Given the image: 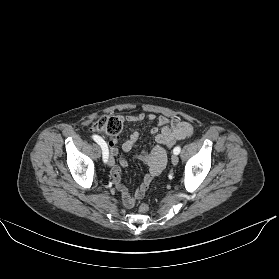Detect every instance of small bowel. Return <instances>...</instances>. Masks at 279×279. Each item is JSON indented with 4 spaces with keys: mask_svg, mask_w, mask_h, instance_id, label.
<instances>
[{
    "mask_svg": "<svg viewBox=\"0 0 279 279\" xmlns=\"http://www.w3.org/2000/svg\"><path fill=\"white\" fill-rule=\"evenodd\" d=\"M121 122H138L148 119L149 121H157V125L151 129V133L155 135V146L150 152H143L139 159L146 163L149 167V173L145 175L143 182L135 189L131 195L122 182V167L127 165V158L124 154L119 155L118 165H113L111 169V178L116 188L122 193V201L125 207L130 208L134 205L136 199H140L145 191L149 188L152 180L157 177L167 162V153L164 148L170 138L178 140L189 137L193 134V127L186 121L173 118L169 119L164 115L154 113L145 114L143 112L132 115L127 114L121 116ZM139 139V133L133 132L130 137L122 144L123 152L127 153L132 150ZM109 148L113 156L119 154V141L116 137H110Z\"/></svg>",
    "mask_w": 279,
    "mask_h": 279,
    "instance_id": "c3829d8e",
    "label": "small bowel"
}]
</instances>
